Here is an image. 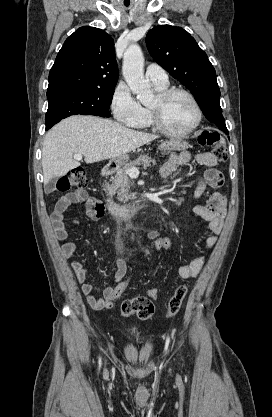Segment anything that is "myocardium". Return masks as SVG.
<instances>
[{
  "label": "myocardium",
  "mask_w": 272,
  "mask_h": 417,
  "mask_svg": "<svg viewBox=\"0 0 272 417\" xmlns=\"http://www.w3.org/2000/svg\"><path fill=\"white\" fill-rule=\"evenodd\" d=\"M176 95L186 96L191 101L196 111V119L193 125L189 129L180 132L173 131L170 128H168L164 124L161 116L162 106ZM157 98L159 102L158 106L149 107L148 109L151 123L158 131L173 137H185L192 134L200 126L203 116L202 109L198 100L190 91L183 88H167L165 90L160 91L157 95Z\"/></svg>",
  "instance_id": "f54148a6"
}]
</instances>
